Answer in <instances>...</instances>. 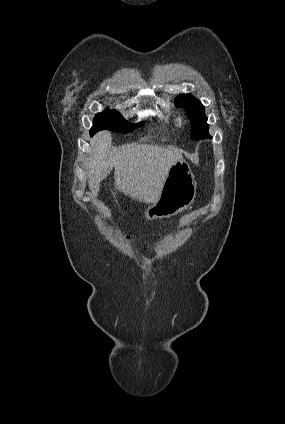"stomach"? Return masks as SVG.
I'll use <instances>...</instances> for the list:
<instances>
[{
    "mask_svg": "<svg viewBox=\"0 0 285 424\" xmlns=\"http://www.w3.org/2000/svg\"><path fill=\"white\" fill-rule=\"evenodd\" d=\"M196 180L181 157L168 171L161 193L145 211L148 220L169 218L188 208L196 197Z\"/></svg>",
    "mask_w": 285,
    "mask_h": 424,
    "instance_id": "0dacf381",
    "label": "stomach"
}]
</instances>
